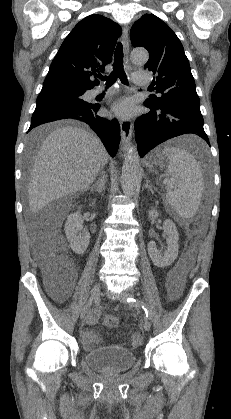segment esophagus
Returning a JSON list of instances; mask_svg holds the SVG:
<instances>
[{
    "instance_id": "obj_1",
    "label": "esophagus",
    "mask_w": 231,
    "mask_h": 419,
    "mask_svg": "<svg viewBox=\"0 0 231 419\" xmlns=\"http://www.w3.org/2000/svg\"><path fill=\"white\" fill-rule=\"evenodd\" d=\"M122 43H123V48H124L126 58H127L128 52H129V36H128L127 26H124L122 30ZM120 129H121V150L125 152L130 147L133 124L129 119H121Z\"/></svg>"
}]
</instances>
